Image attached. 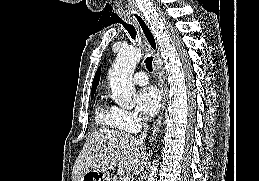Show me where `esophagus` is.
<instances>
[{"label": "esophagus", "mask_w": 259, "mask_h": 181, "mask_svg": "<svg viewBox=\"0 0 259 181\" xmlns=\"http://www.w3.org/2000/svg\"><path fill=\"white\" fill-rule=\"evenodd\" d=\"M134 20L136 21L137 25L139 26L149 48L151 49V52L154 56V68L157 73V76L159 78V84L162 91V110L158 117V119L155 121L152 131L153 135L157 136L161 129L163 117H164V109L166 105V92L164 89V72L162 68V62L160 59V49L158 46V42L156 40L155 34L153 33L149 23L146 21L144 16L140 13H136L133 15Z\"/></svg>", "instance_id": "1"}]
</instances>
